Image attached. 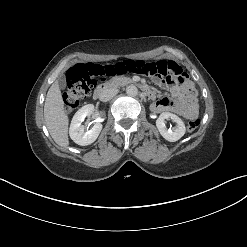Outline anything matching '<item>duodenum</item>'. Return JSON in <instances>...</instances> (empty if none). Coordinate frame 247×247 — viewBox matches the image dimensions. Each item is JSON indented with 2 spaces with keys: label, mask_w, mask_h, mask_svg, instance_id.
<instances>
[{
  "label": "duodenum",
  "mask_w": 247,
  "mask_h": 247,
  "mask_svg": "<svg viewBox=\"0 0 247 247\" xmlns=\"http://www.w3.org/2000/svg\"><path fill=\"white\" fill-rule=\"evenodd\" d=\"M124 84L138 86V82L136 80H133V79H130V80L114 79V80L104 82L101 85H99L94 90L93 97L96 100H102L109 89H111L115 86L124 85ZM139 88L142 91V93L147 95V96H150L152 94V91L144 85H140Z\"/></svg>",
  "instance_id": "duodenum-1"
}]
</instances>
